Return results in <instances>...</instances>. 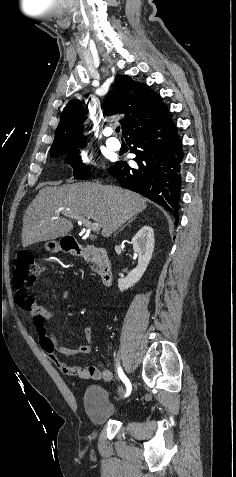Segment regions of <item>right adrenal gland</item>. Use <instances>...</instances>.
Returning a JSON list of instances; mask_svg holds the SVG:
<instances>
[{
    "label": "right adrenal gland",
    "mask_w": 236,
    "mask_h": 477,
    "mask_svg": "<svg viewBox=\"0 0 236 477\" xmlns=\"http://www.w3.org/2000/svg\"><path fill=\"white\" fill-rule=\"evenodd\" d=\"M134 219H136V217L131 218V219L128 221V223L125 224V225L120 229V231L123 230V228H125L126 226H128Z\"/></svg>",
    "instance_id": "obj_1"
}]
</instances>
